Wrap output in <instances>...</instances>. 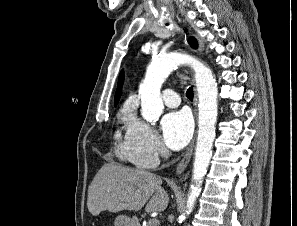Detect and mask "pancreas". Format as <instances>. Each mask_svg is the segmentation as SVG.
I'll use <instances>...</instances> for the list:
<instances>
[{"mask_svg": "<svg viewBox=\"0 0 297 226\" xmlns=\"http://www.w3.org/2000/svg\"><path fill=\"white\" fill-rule=\"evenodd\" d=\"M147 226H160V223L158 222V223L155 224V225H152V224H150V223H147Z\"/></svg>", "mask_w": 297, "mask_h": 226, "instance_id": "1", "label": "pancreas"}]
</instances>
